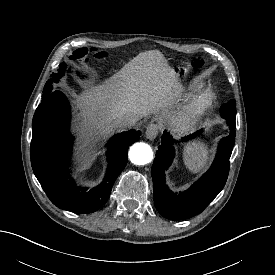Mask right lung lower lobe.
Listing matches in <instances>:
<instances>
[{
  "instance_id": "right-lung-lower-lobe-1",
  "label": "right lung lower lobe",
  "mask_w": 275,
  "mask_h": 275,
  "mask_svg": "<svg viewBox=\"0 0 275 275\" xmlns=\"http://www.w3.org/2000/svg\"><path fill=\"white\" fill-rule=\"evenodd\" d=\"M69 121V103L63 93L54 91L42 99L32 122L31 165L53 204L75 213H91L108 200L115 180L127 164L129 146L138 141L141 132L130 130L109 140L105 178L88 191L75 185L67 169L72 145Z\"/></svg>"
}]
</instances>
